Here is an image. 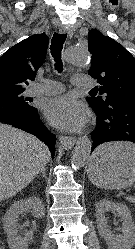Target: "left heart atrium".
I'll list each match as a JSON object with an SVG mask.
<instances>
[{"mask_svg":"<svg viewBox=\"0 0 135 249\" xmlns=\"http://www.w3.org/2000/svg\"><path fill=\"white\" fill-rule=\"evenodd\" d=\"M43 110L47 120L63 130H77L87 119L84 104L72 95H62L47 100Z\"/></svg>","mask_w":135,"mask_h":249,"instance_id":"left-heart-atrium-1","label":"left heart atrium"}]
</instances>
